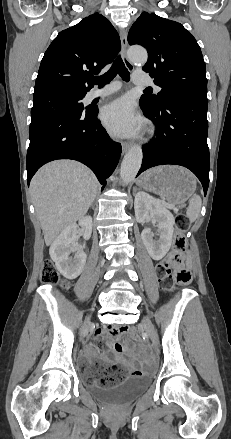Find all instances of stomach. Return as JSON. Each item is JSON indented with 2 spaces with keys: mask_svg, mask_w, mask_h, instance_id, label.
Instances as JSON below:
<instances>
[{
  "mask_svg": "<svg viewBox=\"0 0 231 439\" xmlns=\"http://www.w3.org/2000/svg\"><path fill=\"white\" fill-rule=\"evenodd\" d=\"M141 185L146 190L164 197L169 203L181 205L196 190V178L179 166H159L145 172Z\"/></svg>",
  "mask_w": 231,
  "mask_h": 439,
  "instance_id": "obj_1",
  "label": "stomach"
}]
</instances>
